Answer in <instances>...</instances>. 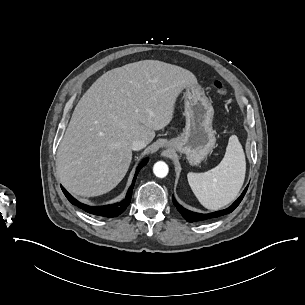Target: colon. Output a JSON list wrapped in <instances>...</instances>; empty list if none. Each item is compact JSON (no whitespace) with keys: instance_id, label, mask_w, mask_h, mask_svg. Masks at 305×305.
I'll return each instance as SVG.
<instances>
[{"instance_id":"obj_1","label":"colon","mask_w":305,"mask_h":305,"mask_svg":"<svg viewBox=\"0 0 305 305\" xmlns=\"http://www.w3.org/2000/svg\"><path fill=\"white\" fill-rule=\"evenodd\" d=\"M214 90L222 97H227L229 92L225 83L219 79L213 80Z\"/></svg>"}]
</instances>
